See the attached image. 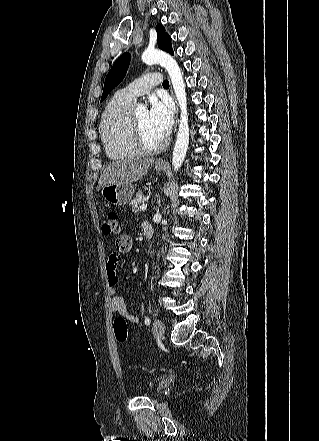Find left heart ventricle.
I'll use <instances>...</instances> for the list:
<instances>
[{
    "label": "left heart ventricle",
    "instance_id": "b2bd125f",
    "mask_svg": "<svg viewBox=\"0 0 319 441\" xmlns=\"http://www.w3.org/2000/svg\"><path fill=\"white\" fill-rule=\"evenodd\" d=\"M136 119L141 128L142 134L148 144L155 145L161 142L163 139L158 137L153 131L148 117V112H139L136 114Z\"/></svg>",
    "mask_w": 319,
    "mask_h": 441
}]
</instances>
